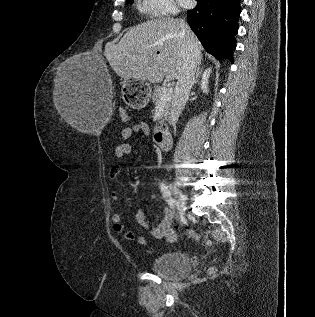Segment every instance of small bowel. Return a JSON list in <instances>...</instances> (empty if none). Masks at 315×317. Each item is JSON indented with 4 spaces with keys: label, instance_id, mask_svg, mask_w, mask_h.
Listing matches in <instances>:
<instances>
[{
    "label": "small bowel",
    "instance_id": "c3829d8e",
    "mask_svg": "<svg viewBox=\"0 0 315 317\" xmlns=\"http://www.w3.org/2000/svg\"><path fill=\"white\" fill-rule=\"evenodd\" d=\"M135 134H150V127L145 122H136L129 126L122 128L121 136L125 139L130 138ZM132 153V146L129 143H122L117 145L114 149V157L117 159H122ZM122 171L120 165H113L108 173V178L114 180ZM111 198L114 201L119 200L120 195L118 192L114 191L111 194ZM172 212L166 207L164 210V216L161 222L156 227H150L148 221L146 220L145 214L142 209L136 212L137 223L144 229L148 230L151 236L155 239H171L172 227ZM113 230L120 234L125 240L135 241L139 245H146L147 239L143 235H138L133 231L127 229V227L122 223L120 214L114 213L111 216Z\"/></svg>",
    "mask_w": 315,
    "mask_h": 317
}]
</instances>
